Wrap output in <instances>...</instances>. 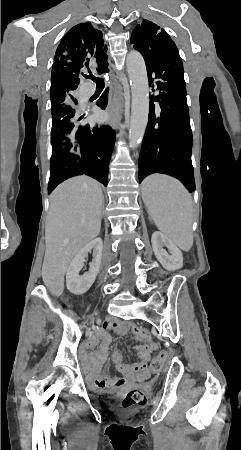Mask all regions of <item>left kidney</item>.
Returning a JSON list of instances; mask_svg holds the SVG:
<instances>
[{
  "label": "left kidney",
  "instance_id": "obj_1",
  "mask_svg": "<svg viewBox=\"0 0 241 450\" xmlns=\"http://www.w3.org/2000/svg\"><path fill=\"white\" fill-rule=\"evenodd\" d=\"M153 252L160 262L161 266L165 268V270H179L183 266V256L182 252L178 250L177 246L162 234V232H154L151 238ZM164 248H168V252L164 250ZM171 254V256H169Z\"/></svg>",
  "mask_w": 241,
  "mask_h": 450
}]
</instances>
